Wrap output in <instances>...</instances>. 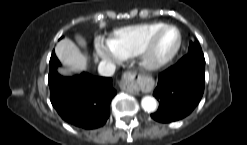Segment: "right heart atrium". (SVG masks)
<instances>
[{
    "instance_id": "obj_1",
    "label": "right heart atrium",
    "mask_w": 247,
    "mask_h": 145,
    "mask_svg": "<svg viewBox=\"0 0 247 145\" xmlns=\"http://www.w3.org/2000/svg\"><path fill=\"white\" fill-rule=\"evenodd\" d=\"M95 50L97 55L108 62H120L121 56L107 43L97 42L95 44Z\"/></svg>"
}]
</instances>
